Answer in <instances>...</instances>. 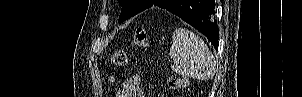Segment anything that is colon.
I'll use <instances>...</instances> for the list:
<instances>
[{
	"label": "colon",
	"instance_id": "1",
	"mask_svg": "<svg viewBox=\"0 0 302 97\" xmlns=\"http://www.w3.org/2000/svg\"><path fill=\"white\" fill-rule=\"evenodd\" d=\"M132 43L137 48H146L148 46V36L146 30L143 27H136L133 32ZM111 65L116 67L125 66L128 63V54L125 51L112 52L108 58ZM185 81L180 79H172L169 81V86L172 89H176L182 86Z\"/></svg>",
	"mask_w": 302,
	"mask_h": 97
}]
</instances>
